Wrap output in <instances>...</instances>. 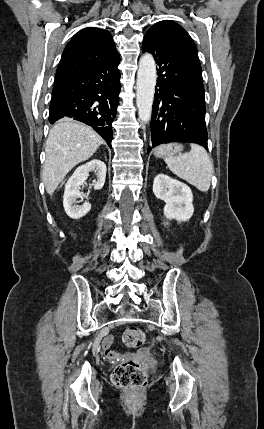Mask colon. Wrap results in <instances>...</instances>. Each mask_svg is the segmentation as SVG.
<instances>
[{
	"label": "colon",
	"instance_id": "colon-1",
	"mask_svg": "<svg viewBox=\"0 0 264 429\" xmlns=\"http://www.w3.org/2000/svg\"><path fill=\"white\" fill-rule=\"evenodd\" d=\"M127 347H140L145 341L144 332L137 327H129L123 333ZM112 382L125 390H141L147 382V366L141 356H134L119 363L113 370Z\"/></svg>",
	"mask_w": 264,
	"mask_h": 429
}]
</instances>
